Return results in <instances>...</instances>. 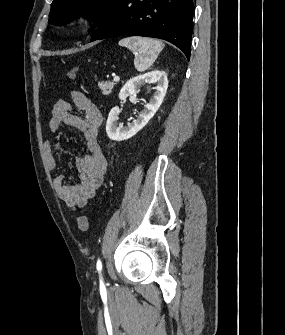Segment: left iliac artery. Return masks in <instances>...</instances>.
I'll use <instances>...</instances> for the list:
<instances>
[{
	"mask_svg": "<svg viewBox=\"0 0 285 335\" xmlns=\"http://www.w3.org/2000/svg\"><path fill=\"white\" fill-rule=\"evenodd\" d=\"M97 271L99 272V273H101V271H102V263H101V261L98 259V261H97Z\"/></svg>",
	"mask_w": 285,
	"mask_h": 335,
	"instance_id": "left-iliac-artery-1",
	"label": "left iliac artery"
}]
</instances>
